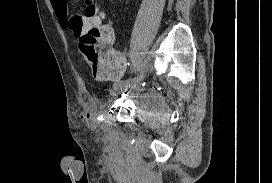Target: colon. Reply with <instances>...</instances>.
Listing matches in <instances>:
<instances>
[{
    "mask_svg": "<svg viewBox=\"0 0 272 183\" xmlns=\"http://www.w3.org/2000/svg\"><path fill=\"white\" fill-rule=\"evenodd\" d=\"M67 0L66 26L79 39V50L95 76L104 77L118 63L119 56L112 44L115 33L105 24V14L91 1L81 12H74Z\"/></svg>",
    "mask_w": 272,
    "mask_h": 183,
    "instance_id": "5ec220e1",
    "label": "colon"
}]
</instances>
